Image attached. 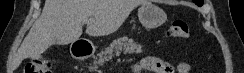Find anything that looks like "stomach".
Returning a JSON list of instances; mask_svg holds the SVG:
<instances>
[{"mask_svg":"<svg viewBox=\"0 0 244 73\" xmlns=\"http://www.w3.org/2000/svg\"><path fill=\"white\" fill-rule=\"evenodd\" d=\"M138 18L144 27L153 29L162 25L167 15L160 7L147 2L138 9Z\"/></svg>","mask_w":244,"mask_h":73,"instance_id":"stomach-1","label":"stomach"}]
</instances>
